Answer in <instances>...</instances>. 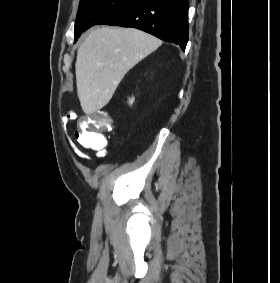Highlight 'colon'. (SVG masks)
<instances>
[{"mask_svg": "<svg viewBox=\"0 0 280 283\" xmlns=\"http://www.w3.org/2000/svg\"><path fill=\"white\" fill-rule=\"evenodd\" d=\"M72 120L75 119L73 112H68ZM110 114L107 110H85L80 114L75 130V140L83 148L93 150L97 153L103 152L107 147V139L101 132H113V123L108 122ZM89 121H94L97 127L89 128Z\"/></svg>", "mask_w": 280, "mask_h": 283, "instance_id": "5ec220e1", "label": "colon"}]
</instances>
